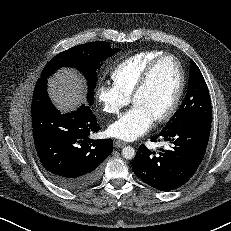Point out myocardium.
Wrapping results in <instances>:
<instances>
[{"label": "myocardium", "instance_id": "f54148a6", "mask_svg": "<svg viewBox=\"0 0 231 231\" xmlns=\"http://www.w3.org/2000/svg\"><path fill=\"white\" fill-rule=\"evenodd\" d=\"M167 58L173 59L178 66L179 83H178V87H177L176 93L174 95V98H173L170 106L168 107V109L164 113H162L160 116L155 118V121L158 123L166 121L170 117H172V115L177 110L179 103L181 101V98H182V95H183V92L185 89L186 77H185L184 66H183L182 62L180 61V59L171 53H162L161 55L154 58L152 61L149 62V64L144 69V71H143V73H142V75H141L135 89L133 90L132 95H131V102L134 103V100L136 99V97L144 90V88L148 84L150 77H151V74H152L154 68L156 67V65L160 61L167 59Z\"/></svg>", "mask_w": 231, "mask_h": 231}]
</instances>
